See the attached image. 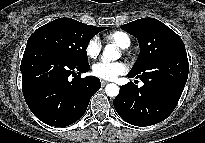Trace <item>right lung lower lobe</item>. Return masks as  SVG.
Here are the masks:
<instances>
[{
  "label": "right lung lower lobe",
  "instance_id": "right-lung-lower-lobe-1",
  "mask_svg": "<svg viewBox=\"0 0 205 143\" xmlns=\"http://www.w3.org/2000/svg\"><path fill=\"white\" fill-rule=\"evenodd\" d=\"M89 69V64L77 65L47 47L28 44L20 70L23 95L32 113L55 127L76 122L101 87L97 77H80Z\"/></svg>",
  "mask_w": 205,
  "mask_h": 143
}]
</instances>
